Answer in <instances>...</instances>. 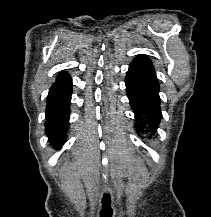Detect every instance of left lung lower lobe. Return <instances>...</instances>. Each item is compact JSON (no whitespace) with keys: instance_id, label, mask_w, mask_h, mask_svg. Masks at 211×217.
<instances>
[{"instance_id":"0a47b994","label":"left lung lower lobe","mask_w":211,"mask_h":217,"mask_svg":"<svg viewBox=\"0 0 211 217\" xmlns=\"http://www.w3.org/2000/svg\"><path fill=\"white\" fill-rule=\"evenodd\" d=\"M125 84L138 131L154 134L162 117L158 79L145 69L130 64Z\"/></svg>"}]
</instances>
